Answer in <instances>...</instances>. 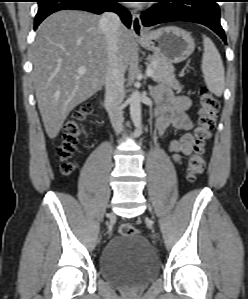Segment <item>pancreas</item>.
I'll use <instances>...</instances> for the list:
<instances>
[{"label":"pancreas","mask_w":248,"mask_h":299,"mask_svg":"<svg viewBox=\"0 0 248 299\" xmlns=\"http://www.w3.org/2000/svg\"><path fill=\"white\" fill-rule=\"evenodd\" d=\"M151 62L149 67L153 69L152 79L154 81L166 83L178 91L182 90L180 83L175 78L174 67L170 62L157 55L151 57Z\"/></svg>","instance_id":"obj_1"}]
</instances>
